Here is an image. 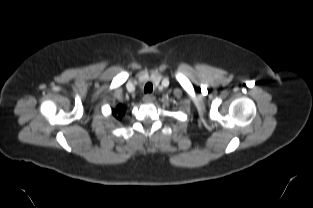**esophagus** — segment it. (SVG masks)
I'll return each instance as SVG.
<instances>
[{
	"instance_id": "obj_1",
	"label": "esophagus",
	"mask_w": 313,
	"mask_h": 208,
	"mask_svg": "<svg viewBox=\"0 0 313 208\" xmlns=\"http://www.w3.org/2000/svg\"><path fill=\"white\" fill-rule=\"evenodd\" d=\"M154 100H155V97H154V95H152V94H146V95H144V97H143V101H144L145 103H152Z\"/></svg>"
}]
</instances>
